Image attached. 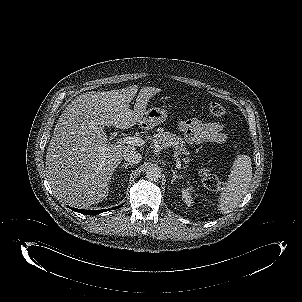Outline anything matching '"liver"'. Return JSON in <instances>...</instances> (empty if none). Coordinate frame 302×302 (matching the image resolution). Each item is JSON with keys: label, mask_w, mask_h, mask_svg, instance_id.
Returning a JSON list of instances; mask_svg holds the SVG:
<instances>
[{"label": "liver", "mask_w": 302, "mask_h": 302, "mask_svg": "<svg viewBox=\"0 0 302 302\" xmlns=\"http://www.w3.org/2000/svg\"><path fill=\"white\" fill-rule=\"evenodd\" d=\"M135 94L134 87L86 92L72 100L61 114L45 163L52 188L67 203L86 207L107 197L109 182L123 153L136 147L110 143L104 127L128 129L141 125L147 90H141L131 110L129 103Z\"/></svg>", "instance_id": "obj_1"}]
</instances>
